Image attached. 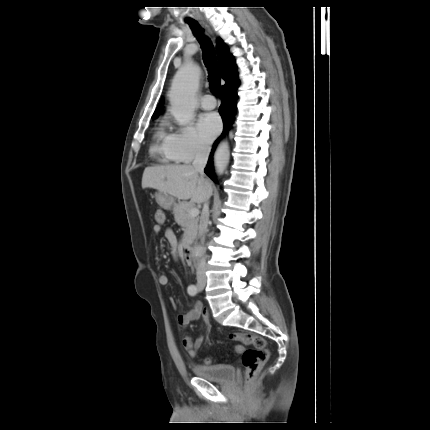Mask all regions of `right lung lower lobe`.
<instances>
[{
    "mask_svg": "<svg viewBox=\"0 0 430 430\" xmlns=\"http://www.w3.org/2000/svg\"><path fill=\"white\" fill-rule=\"evenodd\" d=\"M238 85L239 84L232 87H228L227 89L223 90L224 98H223L222 105L220 106V109H219L224 123V130H223L222 136L230 129L234 120V115L236 112V100H237L236 90ZM219 139L214 143L208 164L205 168V173L215 182H217V179L214 176L212 156L218 144Z\"/></svg>",
    "mask_w": 430,
    "mask_h": 430,
    "instance_id": "1",
    "label": "right lung lower lobe"
}]
</instances>
